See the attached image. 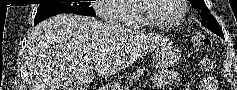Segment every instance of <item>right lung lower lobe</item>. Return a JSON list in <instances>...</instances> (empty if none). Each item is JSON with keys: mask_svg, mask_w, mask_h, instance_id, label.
<instances>
[{"mask_svg": "<svg viewBox=\"0 0 237 90\" xmlns=\"http://www.w3.org/2000/svg\"><path fill=\"white\" fill-rule=\"evenodd\" d=\"M38 23H34V26L37 25Z\"/></svg>", "mask_w": 237, "mask_h": 90, "instance_id": "obj_1", "label": "right lung lower lobe"}]
</instances>
